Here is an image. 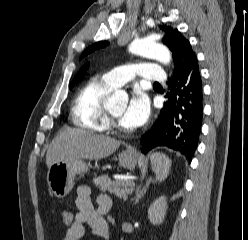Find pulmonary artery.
I'll use <instances>...</instances> for the list:
<instances>
[{"instance_id": "e3ab8cb5", "label": "pulmonary artery", "mask_w": 248, "mask_h": 240, "mask_svg": "<svg viewBox=\"0 0 248 240\" xmlns=\"http://www.w3.org/2000/svg\"><path fill=\"white\" fill-rule=\"evenodd\" d=\"M135 77L157 83L166 80L163 70L158 65L150 63H134L117 67L103 75V79L113 87L122 86Z\"/></svg>"}]
</instances>
